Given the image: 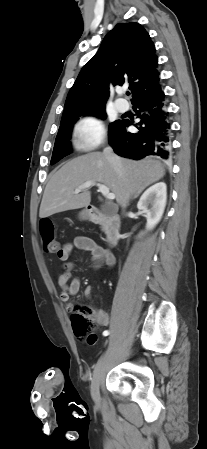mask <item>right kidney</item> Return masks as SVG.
Listing matches in <instances>:
<instances>
[{"label": "right kidney", "mask_w": 207, "mask_h": 449, "mask_svg": "<svg viewBox=\"0 0 207 449\" xmlns=\"http://www.w3.org/2000/svg\"><path fill=\"white\" fill-rule=\"evenodd\" d=\"M167 201V186L159 182L148 188L140 197L137 208L145 213L146 230H152L161 220ZM149 205L151 208L149 209Z\"/></svg>", "instance_id": "right-kidney-1"}]
</instances>
